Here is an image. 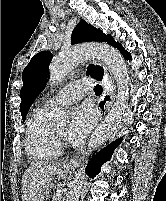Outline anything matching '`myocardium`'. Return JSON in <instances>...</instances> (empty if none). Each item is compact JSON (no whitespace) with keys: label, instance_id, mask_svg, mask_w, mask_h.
Masks as SVG:
<instances>
[{"label":"myocardium","instance_id":"f54148a6","mask_svg":"<svg viewBox=\"0 0 166 201\" xmlns=\"http://www.w3.org/2000/svg\"><path fill=\"white\" fill-rule=\"evenodd\" d=\"M54 136L60 146H68L67 139L64 135H62L55 127H54Z\"/></svg>","mask_w":166,"mask_h":201}]
</instances>
